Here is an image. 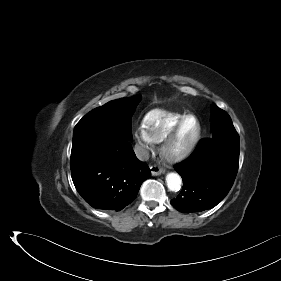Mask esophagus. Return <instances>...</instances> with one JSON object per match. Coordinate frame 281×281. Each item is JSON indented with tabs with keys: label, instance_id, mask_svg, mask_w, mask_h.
<instances>
[{
	"label": "esophagus",
	"instance_id": "obj_1",
	"mask_svg": "<svg viewBox=\"0 0 281 281\" xmlns=\"http://www.w3.org/2000/svg\"><path fill=\"white\" fill-rule=\"evenodd\" d=\"M150 170H151V173L153 176H158L165 172V170L163 168L158 167V166H151Z\"/></svg>",
	"mask_w": 281,
	"mask_h": 281
}]
</instances>
